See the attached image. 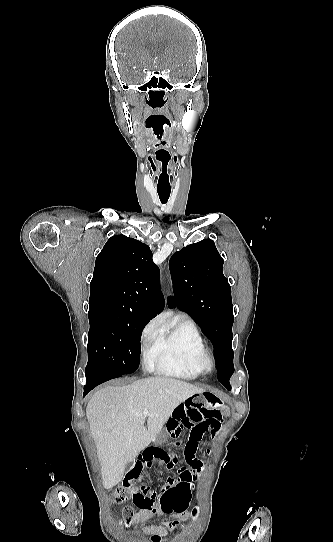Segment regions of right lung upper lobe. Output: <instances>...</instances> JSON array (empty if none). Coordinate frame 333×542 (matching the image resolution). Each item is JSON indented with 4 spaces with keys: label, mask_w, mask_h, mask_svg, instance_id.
Segmentation results:
<instances>
[{
    "label": "right lung upper lobe",
    "mask_w": 333,
    "mask_h": 542,
    "mask_svg": "<svg viewBox=\"0 0 333 542\" xmlns=\"http://www.w3.org/2000/svg\"><path fill=\"white\" fill-rule=\"evenodd\" d=\"M159 283L150 248L124 235L113 236L96 258L89 308L113 307L152 319L164 307Z\"/></svg>",
    "instance_id": "1"
}]
</instances>
